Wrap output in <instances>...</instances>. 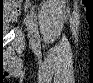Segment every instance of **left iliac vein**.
Returning <instances> with one entry per match:
<instances>
[{"label":"left iliac vein","instance_id":"4c4485c4","mask_svg":"<svg viewBox=\"0 0 93 83\" xmlns=\"http://www.w3.org/2000/svg\"><path fill=\"white\" fill-rule=\"evenodd\" d=\"M25 24H26L27 29H28V35H29L30 41L33 43L34 42L35 33H34V25H33V21H32L31 16L26 15V17H25Z\"/></svg>","mask_w":93,"mask_h":83}]
</instances>
